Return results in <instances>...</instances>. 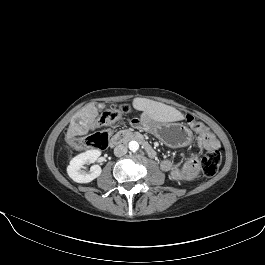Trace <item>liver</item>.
Instances as JSON below:
<instances>
[{
    "label": "liver",
    "mask_w": 265,
    "mask_h": 265,
    "mask_svg": "<svg viewBox=\"0 0 265 265\" xmlns=\"http://www.w3.org/2000/svg\"><path fill=\"white\" fill-rule=\"evenodd\" d=\"M132 104L136 110L143 111L142 119L166 123L184 119V115L180 111L161 102L137 97L133 99ZM97 116L98 109L95 103H88L82 107L71 118L67 137L87 134Z\"/></svg>",
    "instance_id": "6515ba94"
}]
</instances>
